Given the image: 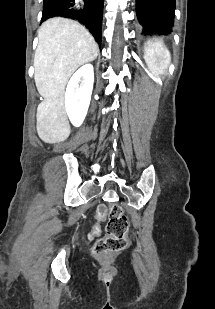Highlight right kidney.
<instances>
[{
  "mask_svg": "<svg viewBox=\"0 0 215 309\" xmlns=\"http://www.w3.org/2000/svg\"><path fill=\"white\" fill-rule=\"evenodd\" d=\"M82 80L80 86L79 82ZM94 82L93 64H83L71 76L65 94L67 114L74 126L82 124L89 108Z\"/></svg>",
  "mask_w": 215,
  "mask_h": 309,
  "instance_id": "ca27d5eb",
  "label": "right kidney"
}]
</instances>
